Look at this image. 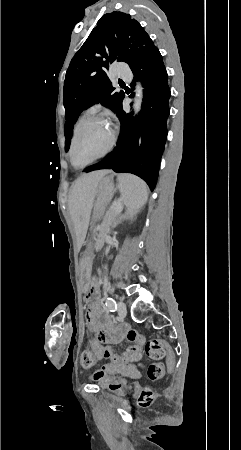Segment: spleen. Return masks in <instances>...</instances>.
Masks as SVG:
<instances>
[{
    "mask_svg": "<svg viewBox=\"0 0 241 450\" xmlns=\"http://www.w3.org/2000/svg\"><path fill=\"white\" fill-rule=\"evenodd\" d=\"M118 188L130 216H135L148 200L147 184L133 174H119Z\"/></svg>",
    "mask_w": 241,
    "mask_h": 450,
    "instance_id": "spleen-1",
    "label": "spleen"
}]
</instances>
